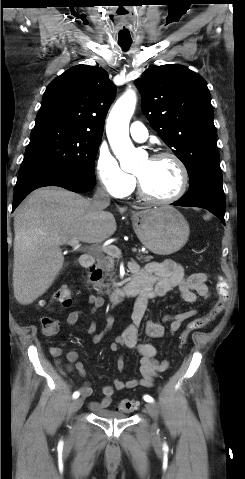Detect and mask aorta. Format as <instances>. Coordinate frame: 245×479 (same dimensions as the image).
<instances>
[{
  "mask_svg": "<svg viewBox=\"0 0 245 479\" xmlns=\"http://www.w3.org/2000/svg\"><path fill=\"white\" fill-rule=\"evenodd\" d=\"M136 106V95L126 91L113 106L106 125L110 146L126 172H134L138 166L135 148L129 137V122Z\"/></svg>",
  "mask_w": 245,
  "mask_h": 479,
  "instance_id": "aorta-1",
  "label": "aorta"
}]
</instances>
